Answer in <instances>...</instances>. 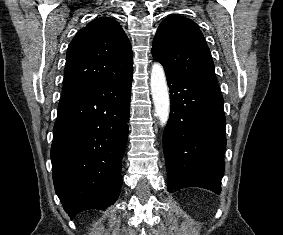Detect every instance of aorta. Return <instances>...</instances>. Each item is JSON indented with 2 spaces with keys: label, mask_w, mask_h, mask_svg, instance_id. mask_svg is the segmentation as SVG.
<instances>
[{
  "label": "aorta",
  "mask_w": 283,
  "mask_h": 235,
  "mask_svg": "<svg viewBox=\"0 0 283 235\" xmlns=\"http://www.w3.org/2000/svg\"><path fill=\"white\" fill-rule=\"evenodd\" d=\"M150 86L155 115L159 119L160 125L164 126L169 119L170 99L165 72L162 65L158 62L152 66Z\"/></svg>",
  "instance_id": "obj_1"
}]
</instances>
